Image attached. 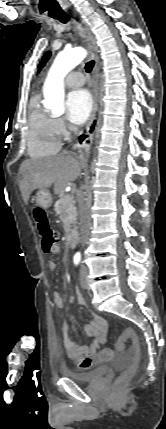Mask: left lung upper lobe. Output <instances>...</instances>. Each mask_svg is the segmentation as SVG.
Segmentation results:
<instances>
[{
  "label": "left lung upper lobe",
  "mask_w": 166,
  "mask_h": 429,
  "mask_svg": "<svg viewBox=\"0 0 166 429\" xmlns=\"http://www.w3.org/2000/svg\"><path fill=\"white\" fill-rule=\"evenodd\" d=\"M50 56H51V52H47L43 57H42V60H41V62L39 63V65H38V68H39V70H41L43 67H44V65L46 64V62L48 61V59L50 58Z\"/></svg>",
  "instance_id": "left-lung-upper-lobe-1"
}]
</instances>
